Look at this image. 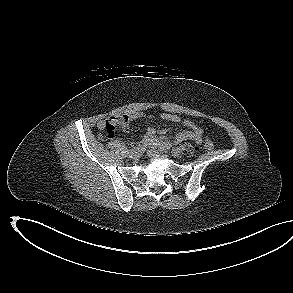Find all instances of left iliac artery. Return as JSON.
<instances>
[{
  "label": "left iliac artery",
  "mask_w": 293,
  "mask_h": 293,
  "mask_svg": "<svg viewBox=\"0 0 293 293\" xmlns=\"http://www.w3.org/2000/svg\"><path fill=\"white\" fill-rule=\"evenodd\" d=\"M180 148H181L182 151L185 150V146L184 145H181Z\"/></svg>",
  "instance_id": "1"
}]
</instances>
